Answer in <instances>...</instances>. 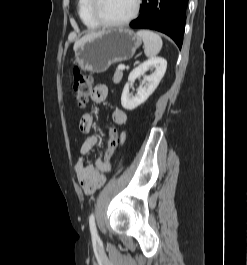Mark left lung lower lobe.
<instances>
[{"instance_id":"obj_1","label":"left lung lower lobe","mask_w":247,"mask_h":265,"mask_svg":"<svg viewBox=\"0 0 247 265\" xmlns=\"http://www.w3.org/2000/svg\"><path fill=\"white\" fill-rule=\"evenodd\" d=\"M188 0H143L133 28H149L170 36L181 49Z\"/></svg>"}]
</instances>
